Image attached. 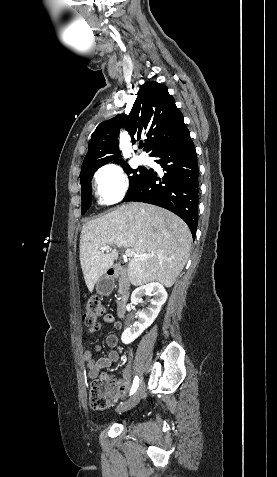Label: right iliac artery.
<instances>
[{
	"label": "right iliac artery",
	"instance_id": "obj_1",
	"mask_svg": "<svg viewBox=\"0 0 277 477\" xmlns=\"http://www.w3.org/2000/svg\"><path fill=\"white\" fill-rule=\"evenodd\" d=\"M138 385H139V378L136 376L134 378V381H133V385H132V389H131V392H130V395L134 394L135 391L137 390L138 388Z\"/></svg>",
	"mask_w": 277,
	"mask_h": 477
}]
</instances>
